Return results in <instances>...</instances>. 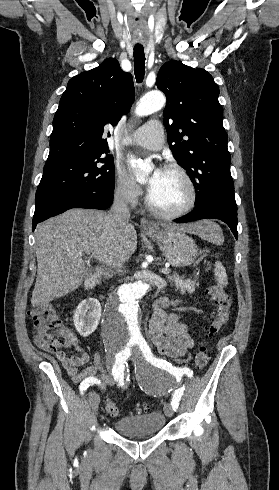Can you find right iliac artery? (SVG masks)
Returning a JSON list of instances; mask_svg holds the SVG:
<instances>
[{
  "instance_id": "82829eb1",
  "label": "right iliac artery",
  "mask_w": 279,
  "mask_h": 490,
  "mask_svg": "<svg viewBox=\"0 0 279 490\" xmlns=\"http://www.w3.org/2000/svg\"><path fill=\"white\" fill-rule=\"evenodd\" d=\"M129 355L127 352H111L110 354V359H111V364L113 366L112 369V374L115 376V378L118 379L120 373L124 371V366L126 364V361L128 360ZM96 380V381H95ZM100 379L99 378H94L92 376H86L84 379L80 381V386L79 389L81 393L83 394V391L88 390V388L93 387V382L95 384H100Z\"/></svg>"
}]
</instances>
